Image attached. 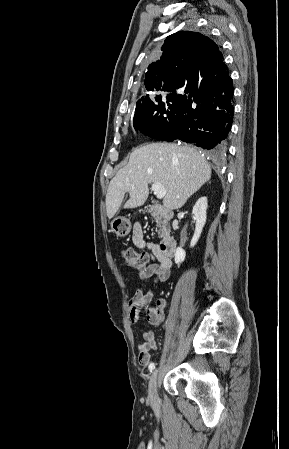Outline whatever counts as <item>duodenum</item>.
Masks as SVG:
<instances>
[{"label":"duodenum","mask_w":289,"mask_h":449,"mask_svg":"<svg viewBox=\"0 0 289 449\" xmlns=\"http://www.w3.org/2000/svg\"><path fill=\"white\" fill-rule=\"evenodd\" d=\"M148 212L152 215H158L166 221H169L173 218V212L169 208L159 205L150 207ZM159 249L165 257L171 258L176 251L175 238L170 233H166L159 243Z\"/></svg>","instance_id":"1"}]
</instances>
